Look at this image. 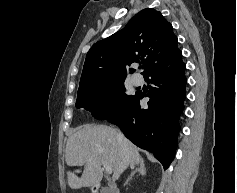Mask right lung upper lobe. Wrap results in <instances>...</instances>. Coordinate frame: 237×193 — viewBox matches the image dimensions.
I'll list each match as a JSON object with an SVG mask.
<instances>
[{"label": "right lung upper lobe", "mask_w": 237, "mask_h": 193, "mask_svg": "<svg viewBox=\"0 0 237 193\" xmlns=\"http://www.w3.org/2000/svg\"><path fill=\"white\" fill-rule=\"evenodd\" d=\"M172 25L155 9L136 14L121 31L95 43L87 53L79 90L126 78L125 65L144 64V75L179 49ZM133 71V70H132Z\"/></svg>", "instance_id": "right-lung-upper-lobe-1"}]
</instances>
